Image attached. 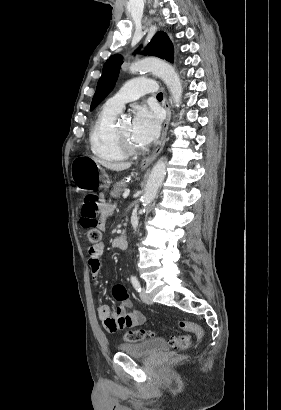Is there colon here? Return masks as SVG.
I'll use <instances>...</instances> for the list:
<instances>
[{
	"label": "colon",
	"instance_id": "obj_1",
	"mask_svg": "<svg viewBox=\"0 0 281 410\" xmlns=\"http://www.w3.org/2000/svg\"><path fill=\"white\" fill-rule=\"evenodd\" d=\"M98 210V198L94 195H87L83 200L80 223L81 226L86 229L87 237L93 244H98L101 241V231L98 227ZM179 327L184 331V333L179 336L172 337L169 341L174 350H185L190 347L194 336L198 339L203 337V329L196 323L181 320L179 321ZM155 336L156 333L152 330L136 329L126 332L124 335V340L126 342L135 343Z\"/></svg>",
	"mask_w": 281,
	"mask_h": 410
}]
</instances>
